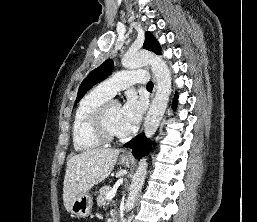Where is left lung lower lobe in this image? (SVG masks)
I'll return each instance as SVG.
<instances>
[{
	"label": "left lung lower lobe",
	"instance_id": "1",
	"mask_svg": "<svg viewBox=\"0 0 257 222\" xmlns=\"http://www.w3.org/2000/svg\"><path fill=\"white\" fill-rule=\"evenodd\" d=\"M176 104V97L174 99V105ZM125 147L132 148V154L135 158H141L145 155L151 146L150 140L146 139L144 134L137 135L131 141L124 145Z\"/></svg>",
	"mask_w": 257,
	"mask_h": 222
}]
</instances>
